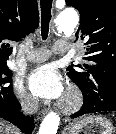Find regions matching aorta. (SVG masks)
<instances>
[{
    "instance_id": "762f6f07",
    "label": "aorta",
    "mask_w": 116,
    "mask_h": 134,
    "mask_svg": "<svg viewBox=\"0 0 116 134\" xmlns=\"http://www.w3.org/2000/svg\"><path fill=\"white\" fill-rule=\"evenodd\" d=\"M79 17L72 8L65 9L57 18V31L62 32L67 29H73L78 23ZM60 118L54 112L49 113L43 120L39 134H56L59 126Z\"/></svg>"
}]
</instances>
